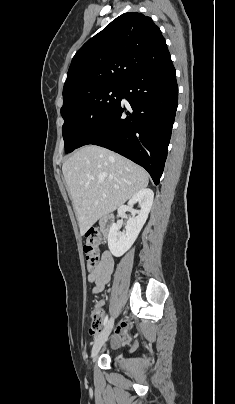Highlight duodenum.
Returning <instances> with one entry per match:
<instances>
[{
	"label": "duodenum",
	"mask_w": 235,
	"mask_h": 404,
	"mask_svg": "<svg viewBox=\"0 0 235 404\" xmlns=\"http://www.w3.org/2000/svg\"><path fill=\"white\" fill-rule=\"evenodd\" d=\"M113 218L111 216H105L100 221V227L104 234H108L113 226Z\"/></svg>",
	"instance_id": "410a0bca"
}]
</instances>
